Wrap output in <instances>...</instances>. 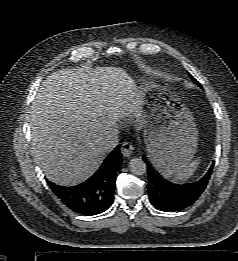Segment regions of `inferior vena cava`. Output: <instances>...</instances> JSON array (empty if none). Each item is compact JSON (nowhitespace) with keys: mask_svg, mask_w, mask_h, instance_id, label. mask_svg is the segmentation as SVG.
Wrapping results in <instances>:
<instances>
[{"mask_svg":"<svg viewBox=\"0 0 238 261\" xmlns=\"http://www.w3.org/2000/svg\"><path fill=\"white\" fill-rule=\"evenodd\" d=\"M118 142V129L115 127L105 136L103 141V148L105 151H111L118 145Z\"/></svg>","mask_w":238,"mask_h":261,"instance_id":"inferior-vena-cava-1","label":"inferior vena cava"}]
</instances>
